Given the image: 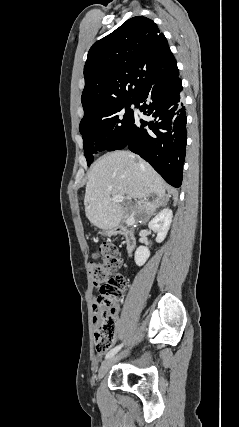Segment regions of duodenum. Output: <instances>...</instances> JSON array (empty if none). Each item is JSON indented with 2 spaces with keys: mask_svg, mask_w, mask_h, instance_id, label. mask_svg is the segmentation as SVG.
I'll return each instance as SVG.
<instances>
[{
  "mask_svg": "<svg viewBox=\"0 0 239 427\" xmlns=\"http://www.w3.org/2000/svg\"><path fill=\"white\" fill-rule=\"evenodd\" d=\"M114 232L123 237L125 249L128 253H131L136 245V237L134 231L127 226H118L114 229Z\"/></svg>",
  "mask_w": 239,
  "mask_h": 427,
  "instance_id": "obj_1",
  "label": "duodenum"
}]
</instances>
